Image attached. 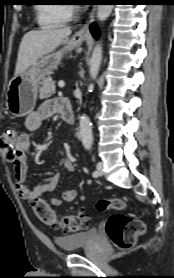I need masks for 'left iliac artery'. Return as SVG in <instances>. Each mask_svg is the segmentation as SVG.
<instances>
[{"instance_id": "1", "label": "left iliac artery", "mask_w": 174, "mask_h": 278, "mask_svg": "<svg viewBox=\"0 0 174 278\" xmlns=\"http://www.w3.org/2000/svg\"><path fill=\"white\" fill-rule=\"evenodd\" d=\"M93 176H94V177H97V176H98V172H97V171H94V172H93Z\"/></svg>"}]
</instances>
